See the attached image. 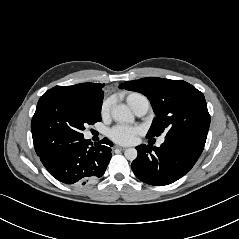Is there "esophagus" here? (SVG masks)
<instances>
[{"instance_id":"esophagus-1","label":"esophagus","mask_w":239,"mask_h":239,"mask_svg":"<svg viewBox=\"0 0 239 239\" xmlns=\"http://www.w3.org/2000/svg\"><path fill=\"white\" fill-rule=\"evenodd\" d=\"M115 148H116V149H119V150H125V149H126V147H123V146H118V145H117V146H115Z\"/></svg>"}]
</instances>
